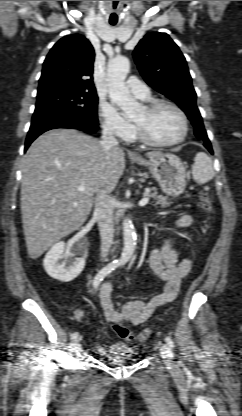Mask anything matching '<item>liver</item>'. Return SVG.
I'll use <instances>...</instances> for the list:
<instances>
[{
    "label": "liver",
    "mask_w": 242,
    "mask_h": 416,
    "mask_svg": "<svg viewBox=\"0 0 242 416\" xmlns=\"http://www.w3.org/2000/svg\"><path fill=\"white\" fill-rule=\"evenodd\" d=\"M161 155L146 153L150 159ZM124 170V152L119 147L104 153L99 140L75 129L58 128L40 135L25 155L21 185L30 257H40L79 229L91 212L94 195L113 191Z\"/></svg>",
    "instance_id": "liver-1"
}]
</instances>
